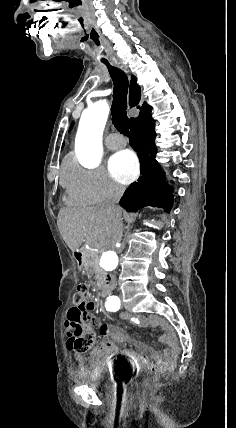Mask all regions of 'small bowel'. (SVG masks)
Returning a JSON list of instances; mask_svg holds the SVG:
<instances>
[{
    "label": "small bowel",
    "mask_w": 236,
    "mask_h": 428,
    "mask_svg": "<svg viewBox=\"0 0 236 428\" xmlns=\"http://www.w3.org/2000/svg\"><path fill=\"white\" fill-rule=\"evenodd\" d=\"M120 319L129 321L135 325L150 328H160L163 331L162 342L166 345V349L162 352H156L146 344L137 341H131L128 335L119 327L101 324L93 320L100 328V333L104 340L100 342L92 351V358L97 359H111L118 354L124 355L128 358L129 362L136 366L142 365L151 367H162L167 364L170 359L178 351V342L173 327L164 319L155 316H132L128 313H120ZM129 342L134 345L137 352L129 350H120L118 343ZM79 363H83L84 358L82 355L75 356Z\"/></svg>",
    "instance_id": "c3829d8e"
}]
</instances>
